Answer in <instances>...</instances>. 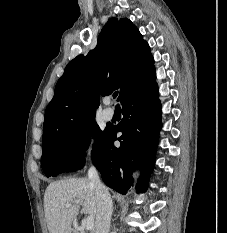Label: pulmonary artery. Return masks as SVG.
<instances>
[{"mask_svg": "<svg viewBox=\"0 0 227 233\" xmlns=\"http://www.w3.org/2000/svg\"><path fill=\"white\" fill-rule=\"evenodd\" d=\"M106 103L108 104L109 101H106ZM114 116V112L111 108H106L104 111H103V117L105 120L109 121L113 118Z\"/></svg>", "mask_w": 227, "mask_h": 233, "instance_id": "e3ab8cb5", "label": "pulmonary artery"}]
</instances>
